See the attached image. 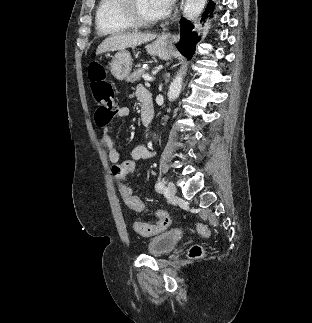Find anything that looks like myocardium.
Returning a JSON list of instances; mask_svg holds the SVG:
<instances>
[{"label": "myocardium", "instance_id": "f54148a6", "mask_svg": "<svg viewBox=\"0 0 312 323\" xmlns=\"http://www.w3.org/2000/svg\"><path fill=\"white\" fill-rule=\"evenodd\" d=\"M137 0H121L118 3L119 8L116 13L120 15L126 25L134 23V25H157V18H147L137 12L136 5Z\"/></svg>", "mask_w": 312, "mask_h": 323}]
</instances>
